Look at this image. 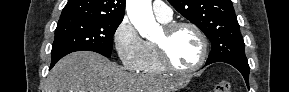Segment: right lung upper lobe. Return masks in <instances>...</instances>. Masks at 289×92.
Here are the masks:
<instances>
[{
    "label": "right lung upper lobe",
    "mask_w": 289,
    "mask_h": 92,
    "mask_svg": "<svg viewBox=\"0 0 289 92\" xmlns=\"http://www.w3.org/2000/svg\"><path fill=\"white\" fill-rule=\"evenodd\" d=\"M125 0H69L60 20L71 18L122 21Z\"/></svg>",
    "instance_id": "cb5924a9"
}]
</instances>
